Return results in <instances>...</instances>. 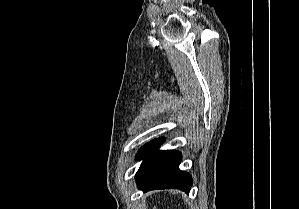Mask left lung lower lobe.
Here are the masks:
<instances>
[{
	"label": "left lung lower lobe",
	"mask_w": 299,
	"mask_h": 209,
	"mask_svg": "<svg viewBox=\"0 0 299 209\" xmlns=\"http://www.w3.org/2000/svg\"><path fill=\"white\" fill-rule=\"evenodd\" d=\"M163 141V138L153 140L140 149L137 158L143 162L135 176L138 188L144 191L177 188L189 192L192 177L179 169L181 153L158 150Z\"/></svg>",
	"instance_id": "left-lung-lower-lobe-1"
}]
</instances>
